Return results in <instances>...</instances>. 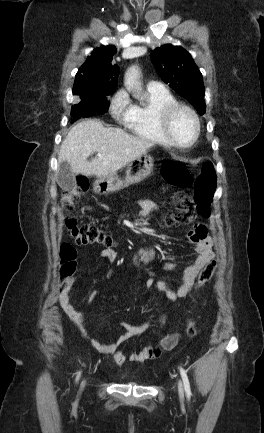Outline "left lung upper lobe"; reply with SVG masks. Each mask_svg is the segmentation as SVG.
<instances>
[{"mask_svg": "<svg viewBox=\"0 0 264 433\" xmlns=\"http://www.w3.org/2000/svg\"><path fill=\"white\" fill-rule=\"evenodd\" d=\"M151 59L161 79L203 115V78L191 55L182 47L166 44L155 49L151 53Z\"/></svg>", "mask_w": 264, "mask_h": 433, "instance_id": "obj_1", "label": "left lung upper lobe"}]
</instances>
